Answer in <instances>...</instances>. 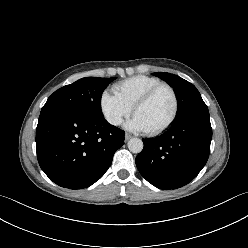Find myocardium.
I'll list each match as a JSON object with an SVG mask.
<instances>
[{"label": "myocardium", "mask_w": 248, "mask_h": 248, "mask_svg": "<svg viewBox=\"0 0 248 248\" xmlns=\"http://www.w3.org/2000/svg\"><path fill=\"white\" fill-rule=\"evenodd\" d=\"M161 89H168L170 91L172 98H173V111H172L170 117L168 118V120L164 124H162L161 126H159L156 129L146 131V133L151 135V136L161 134L162 132L167 130L174 123V121L177 117L178 111H179V99H178V95L176 93V90L171 85H169L167 83H160V84L154 86L153 88H151L150 90H148L145 94H143L135 102V104L132 107V111L135 114L136 111L141 106H143L147 102H149L153 98V96Z\"/></svg>", "instance_id": "1"}]
</instances>
